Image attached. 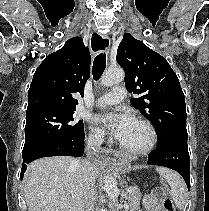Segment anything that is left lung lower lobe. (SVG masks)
Returning <instances> with one entry per match:
<instances>
[{
    "mask_svg": "<svg viewBox=\"0 0 209 211\" xmlns=\"http://www.w3.org/2000/svg\"><path fill=\"white\" fill-rule=\"evenodd\" d=\"M147 164L171 168L179 172L190 189V157L187 147V131L172 134L148 156Z\"/></svg>",
    "mask_w": 209,
    "mask_h": 211,
    "instance_id": "0a47b994",
    "label": "left lung lower lobe"
}]
</instances>
